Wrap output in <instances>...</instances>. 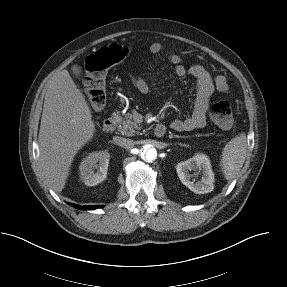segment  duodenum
Returning a JSON list of instances; mask_svg holds the SVG:
<instances>
[{
    "instance_id": "410a0bca",
    "label": "duodenum",
    "mask_w": 287,
    "mask_h": 287,
    "mask_svg": "<svg viewBox=\"0 0 287 287\" xmlns=\"http://www.w3.org/2000/svg\"><path fill=\"white\" fill-rule=\"evenodd\" d=\"M116 128V121L113 117H109L107 119H105L104 123H103V129L106 132H113ZM154 133L157 137H162L164 136V134L166 133V128L163 124H157L155 129H154Z\"/></svg>"
}]
</instances>
